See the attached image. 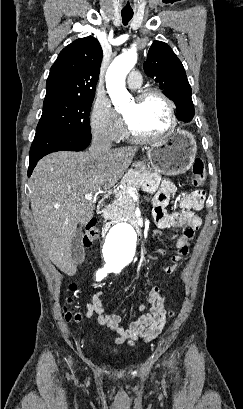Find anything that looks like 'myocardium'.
<instances>
[{
	"instance_id": "myocardium-1",
	"label": "myocardium",
	"mask_w": 243,
	"mask_h": 409,
	"mask_svg": "<svg viewBox=\"0 0 243 409\" xmlns=\"http://www.w3.org/2000/svg\"><path fill=\"white\" fill-rule=\"evenodd\" d=\"M149 97H157L161 101L164 102V104L167 107V111H168L169 125H168V127L166 129H164L163 131H161V132H159L157 134L141 135V134H137L135 131H133L132 128L130 127L129 123L127 122V120L124 118V123H125V128H126L127 135L131 140H133L135 142L146 143V142L156 141V140L168 135L172 131H174V129L176 128L177 123H178L174 102L165 93H163L161 90H159L157 88H147V89L141 90L135 95V100L137 102H142V101L146 100Z\"/></svg>"
}]
</instances>
